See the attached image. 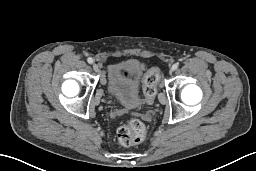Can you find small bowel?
I'll return each instance as SVG.
<instances>
[{
	"label": "small bowel",
	"instance_id": "1",
	"mask_svg": "<svg viewBox=\"0 0 256 171\" xmlns=\"http://www.w3.org/2000/svg\"><path fill=\"white\" fill-rule=\"evenodd\" d=\"M140 68L143 70L144 69V65L142 63H139Z\"/></svg>",
	"mask_w": 256,
	"mask_h": 171
}]
</instances>
